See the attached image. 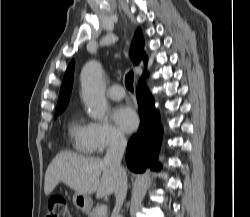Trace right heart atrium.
Instances as JSON below:
<instances>
[{"mask_svg":"<svg viewBox=\"0 0 250 217\" xmlns=\"http://www.w3.org/2000/svg\"><path fill=\"white\" fill-rule=\"evenodd\" d=\"M86 139L89 151L97 155L121 147L126 141L124 134L107 120L88 122Z\"/></svg>","mask_w":250,"mask_h":217,"instance_id":"1","label":"right heart atrium"}]
</instances>
